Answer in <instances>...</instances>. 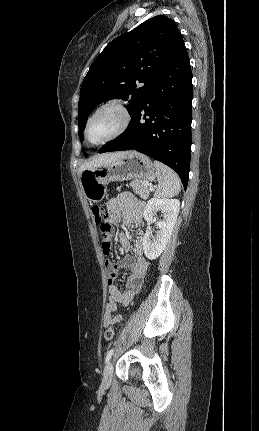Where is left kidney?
<instances>
[{
    "mask_svg": "<svg viewBox=\"0 0 259 431\" xmlns=\"http://www.w3.org/2000/svg\"><path fill=\"white\" fill-rule=\"evenodd\" d=\"M179 210L180 202L178 199L154 197L148 201L143 213L144 219L147 222L154 221L158 211H161L163 214V219L157 222L158 231L156 236H152L147 231L143 237V250L148 259H156L165 249L171 238Z\"/></svg>",
    "mask_w": 259,
    "mask_h": 431,
    "instance_id": "1",
    "label": "left kidney"
}]
</instances>
